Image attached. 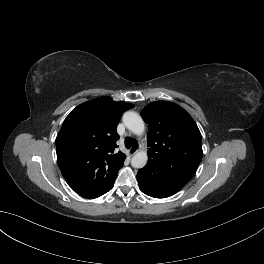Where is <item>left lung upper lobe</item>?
Instances as JSON below:
<instances>
[{
    "instance_id": "5c2ea615",
    "label": "left lung upper lobe",
    "mask_w": 264,
    "mask_h": 264,
    "mask_svg": "<svg viewBox=\"0 0 264 264\" xmlns=\"http://www.w3.org/2000/svg\"><path fill=\"white\" fill-rule=\"evenodd\" d=\"M141 115L148 124V161L190 180L203 156L201 134L192 117L168 101L149 103Z\"/></svg>"
}]
</instances>
